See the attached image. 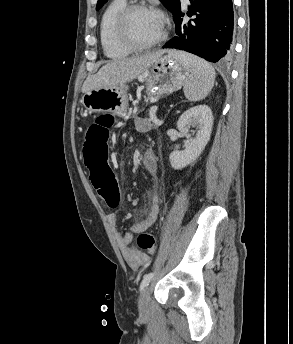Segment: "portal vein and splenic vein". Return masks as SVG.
Here are the masks:
<instances>
[{
	"label": "portal vein and splenic vein",
	"mask_w": 293,
	"mask_h": 344,
	"mask_svg": "<svg viewBox=\"0 0 293 344\" xmlns=\"http://www.w3.org/2000/svg\"><path fill=\"white\" fill-rule=\"evenodd\" d=\"M152 120L155 122V123H158V120L156 118H152Z\"/></svg>",
	"instance_id": "portal-vein-and-splenic-vein-1"
}]
</instances>
